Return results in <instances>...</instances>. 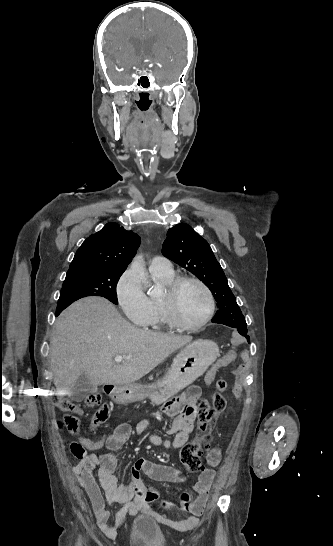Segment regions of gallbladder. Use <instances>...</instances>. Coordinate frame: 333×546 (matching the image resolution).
<instances>
[{"label":"gallbladder","instance_id":"obj_1","mask_svg":"<svg viewBox=\"0 0 333 546\" xmlns=\"http://www.w3.org/2000/svg\"><path fill=\"white\" fill-rule=\"evenodd\" d=\"M97 386L93 385L86 374H82L76 381L74 396L76 400H83L87 394L96 393Z\"/></svg>","mask_w":333,"mask_h":546}]
</instances>
